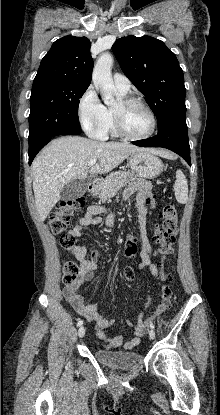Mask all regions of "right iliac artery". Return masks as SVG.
Segmentation results:
<instances>
[{"instance_id":"obj_1","label":"right iliac artery","mask_w":220,"mask_h":415,"mask_svg":"<svg viewBox=\"0 0 220 415\" xmlns=\"http://www.w3.org/2000/svg\"><path fill=\"white\" fill-rule=\"evenodd\" d=\"M82 324H83V321L79 320L78 323H77V326H81Z\"/></svg>"}]
</instances>
